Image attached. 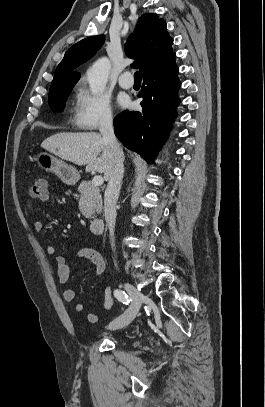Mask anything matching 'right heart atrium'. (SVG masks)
Instances as JSON below:
<instances>
[{"mask_svg":"<svg viewBox=\"0 0 265 407\" xmlns=\"http://www.w3.org/2000/svg\"><path fill=\"white\" fill-rule=\"evenodd\" d=\"M110 100L104 93L91 91L85 83L77 87L75 124L82 129L96 130L113 123Z\"/></svg>","mask_w":265,"mask_h":407,"instance_id":"obj_1","label":"right heart atrium"}]
</instances>
